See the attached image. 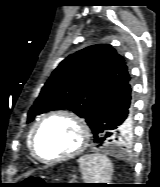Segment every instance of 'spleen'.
<instances>
[{
	"instance_id": "obj_1",
	"label": "spleen",
	"mask_w": 160,
	"mask_h": 187,
	"mask_svg": "<svg viewBox=\"0 0 160 187\" xmlns=\"http://www.w3.org/2000/svg\"><path fill=\"white\" fill-rule=\"evenodd\" d=\"M82 178L87 183H108L113 166L109 158L102 154H90L79 158Z\"/></svg>"
}]
</instances>
